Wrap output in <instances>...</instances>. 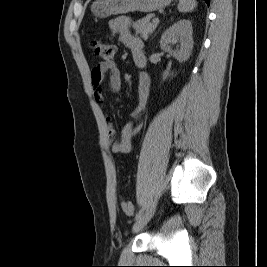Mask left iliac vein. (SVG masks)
<instances>
[{"instance_id":"1","label":"left iliac vein","mask_w":267,"mask_h":267,"mask_svg":"<svg viewBox=\"0 0 267 267\" xmlns=\"http://www.w3.org/2000/svg\"><path fill=\"white\" fill-rule=\"evenodd\" d=\"M155 212V207L151 206L146 210L144 214H142L133 224L132 231L134 233L139 232L143 227L150 221L153 214Z\"/></svg>"}]
</instances>
